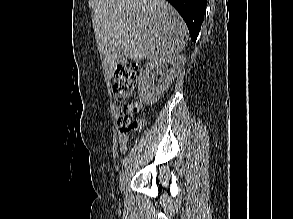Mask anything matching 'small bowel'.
<instances>
[{"instance_id":"c3829d8e","label":"small bowel","mask_w":293,"mask_h":219,"mask_svg":"<svg viewBox=\"0 0 293 219\" xmlns=\"http://www.w3.org/2000/svg\"><path fill=\"white\" fill-rule=\"evenodd\" d=\"M118 141H119L120 151L122 153L126 152L128 145L131 141L129 134L124 131H120Z\"/></svg>"}]
</instances>
